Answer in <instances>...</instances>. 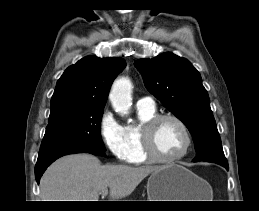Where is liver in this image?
I'll return each instance as SVG.
<instances>
[{
	"mask_svg": "<svg viewBox=\"0 0 259 211\" xmlns=\"http://www.w3.org/2000/svg\"><path fill=\"white\" fill-rule=\"evenodd\" d=\"M162 166L101 165L90 154L60 158L43 174L40 181L41 201H99L108 190L110 201L130 195L140 182Z\"/></svg>",
	"mask_w": 259,
	"mask_h": 211,
	"instance_id": "6515ba94",
	"label": "liver"
}]
</instances>
